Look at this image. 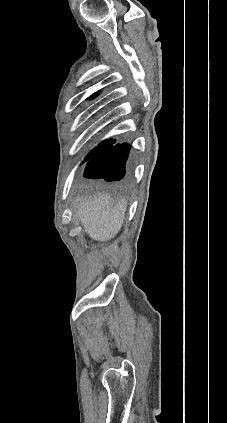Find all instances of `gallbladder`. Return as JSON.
Listing matches in <instances>:
<instances>
[{
    "label": "gallbladder",
    "instance_id": "gallbladder-1",
    "mask_svg": "<svg viewBox=\"0 0 227 423\" xmlns=\"http://www.w3.org/2000/svg\"><path fill=\"white\" fill-rule=\"evenodd\" d=\"M88 184H90V186H92V182H88ZM94 184H95V182H94Z\"/></svg>",
    "mask_w": 227,
    "mask_h": 423
}]
</instances>
